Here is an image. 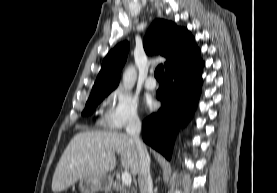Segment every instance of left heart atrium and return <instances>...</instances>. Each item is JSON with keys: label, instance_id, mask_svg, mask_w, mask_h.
<instances>
[{"label": "left heart atrium", "instance_id": "1", "mask_svg": "<svg viewBox=\"0 0 277 193\" xmlns=\"http://www.w3.org/2000/svg\"><path fill=\"white\" fill-rule=\"evenodd\" d=\"M146 105H147V107H148L149 109H153L155 103H154V101H153L151 98H148V99L146 100Z\"/></svg>", "mask_w": 277, "mask_h": 193}]
</instances>
